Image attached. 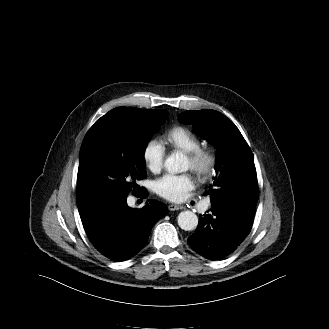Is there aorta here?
Returning a JSON list of instances; mask_svg holds the SVG:
<instances>
[{
	"mask_svg": "<svg viewBox=\"0 0 329 329\" xmlns=\"http://www.w3.org/2000/svg\"><path fill=\"white\" fill-rule=\"evenodd\" d=\"M169 173L176 174L188 170L187 158L180 152L171 154L164 163ZM178 225L185 231L194 230L198 225V217L192 211H182L178 215Z\"/></svg>",
	"mask_w": 329,
	"mask_h": 329,
	"instance_id": "1",
	"label": "aorta"
}]
</instances>
